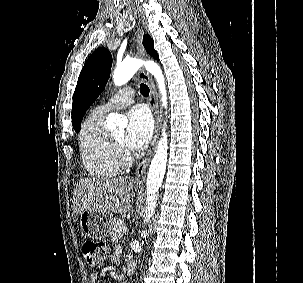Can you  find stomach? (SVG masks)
Listing matches in <instances>:
<instances>
[{"label": "stomach", "mask_w": 303, "mask_h": 283, "mask_svg": "<svg viewBox=\"0 0 303 283\" xmlns=\"http://www.w3.org/2000/svg\"><path fill=\"white\" fill-rule=\"evenodd\" d=\"M82 234L85 237L100 240L109 236L112 229V214L85 210L79 216Z\"/></svg>", "instance_id": "obj_1"}]
</instances>
